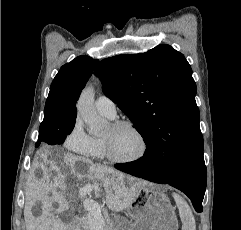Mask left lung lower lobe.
I'll return each instance as SVG.
<instances>
[{
  "mask_svg": "<svg viewBox=\"0 0 241 230\" xmlns=\"http://www.w3.org/2000/svg\"><path fill=\"white\" fill-rule=\"evenodd\" d=\"M115 168L155 183L169 184L184 192L197 212H202L206 189V166L203 151L184 157L174 165L167 148L158 141L146 148L144 156L130 163L116 164Z\"/></svg>",
  "mask_w": 241,
  "mask_h": 230,
  "instance_id": "0a47b994",
  "label": "left lung lower lobe"
}]
</instances>
